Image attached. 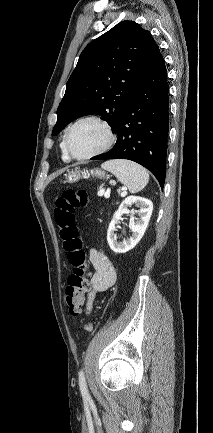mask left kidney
Returning <instances> with one entry per match:
<instances>
[{"label":"left kidney","mask_w":213,"mask_h":433,"mask_svg":"<svg viewBox=\"0 0 213 433\" xmlns=\"http://www.w3.org/2000/svg\"><path fill=\"white\" fill-rule=\"evenodd\" d=\"M131 205H135L139 208V210L130 211L128 207ZM152 210L153 204L146 198L139 196H128L125 198V200L120 204L118 210L114 213L113 219L111 220L107 231V241L111 250L115 253H125L133 249L141 240L147 229L150 217L152 215ZM129 213L131 214L129 228L132 232V236L127 240L117 242L115 234L116 225L119 223V220L123 214ZM135 213H137L140 217L136 222V218L133 216Z\"/></svg>","instance_id":"left-kidney-1"}]
</instances>
